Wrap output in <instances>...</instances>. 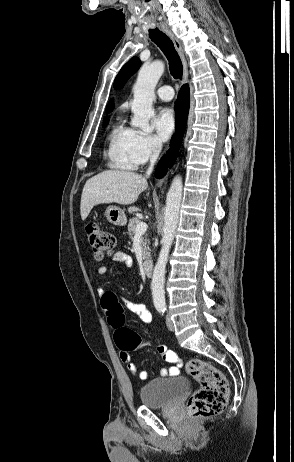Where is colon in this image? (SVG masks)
Instances as JSON below:
<instances>
[{
  "label": "colon",
  "mask_w": 294,
  "mask_h": 462,
  "mask_svg": "<svg viewBox=\"0 0 294 462\" xmlns=\"http://www.w3.org/2000/svg\"><path fill=\"white\" fill-rule=\"evenodd\" d=\"M85 232L97 260L111 255L115 238L110 232L97 224L87 225ZM101 307L108 323L115 329L114 340L122 352L136 351L148 345L138 334L125 327L123 308L114 292L103 293ZM185 369L200 385L187 401L188 413L192 417H209L221 413L227 405L229 393L224 374L200 359L188 360Z\"/></svg>",
  "instance_id": "colon-1"
}]
</instances>
